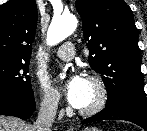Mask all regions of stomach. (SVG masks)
Returning <instances> with one entry per match:
<instances>
[{
  "label": "stomach",
  "mask_w": 147,
  "mask_h": 131,
  "mask_svg": "<svg viewBox=\"0 0 147 131\" xmlns=\"http://www.w3.org/2000/svg\"><path fill=\"white\" fill-rule=\"evenodd\" d=\"M82 131H99V130L97 128H93V127L89 128V127H87L85 129H83Z\"/></svg>",
  "instance_id": "0dacf381"
}]
</instances>
